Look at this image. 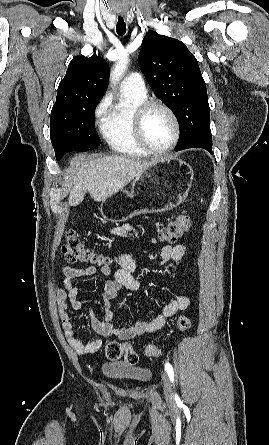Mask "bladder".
I'll list each match as a JSON object with an SVG mask.
<instances>
[{"mask_svg": "<svg viewBox=\"0 0 269 445\" xmlns=\"http://www.w3.org/2000/svg\"><path fill=\"white\" fill-rule=\"evenodd\" d=\"M102 374L112 380H125L137 384L147 383L152 373L148 369L132 367L121 361H106L101 366Z\"/></svg>", "mask_w": 269, "mask_h": 445, "instance_id": "31cf9c89", "label": "bladder"}]
</instances>
